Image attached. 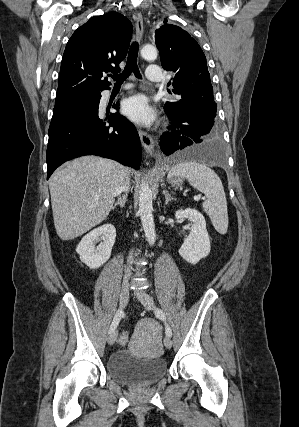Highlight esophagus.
Instances as JSON below:
<instances>
[{
  "label": "esophagus",
  "mask_w": 299,
  "mask_h": 427,
  "mask_svg": "<svg viewBox=\"0 0 299 427\" xmlns=\"http://www.w3.org/2000/svg\"><path fill=\"white\" fill-rule=\"evenodd\" d=\"M134 20L136 22L135 28H136V38L138 41H140L143 37L144 27H143V17L141 13H137L134 15ZM138 134L141 139V143L145 149V151L152 155L154 153V140L151 137L150 134H148L146 131H143L141 129L138 130Z\"/></svg>",
  "instance_id": "34e87169"
}]
</instances>
